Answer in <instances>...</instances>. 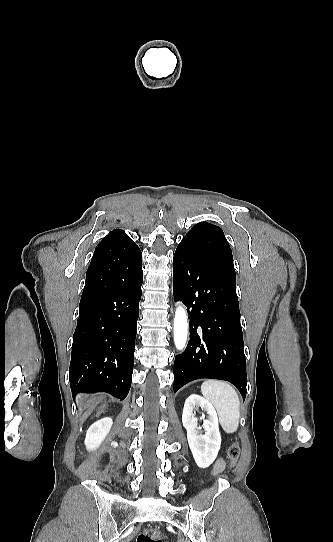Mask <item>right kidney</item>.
<instances>
[{"label":"right kidney","instance_id":"right-kidney-1","mask_svg":"<svg viewBox=\"0 0 333 542\" xmlns=\"http://www.w3.org/2000/svg\"><path fill=\"white\" fill-rule=\"evenodd\" d=\"M112 424L111 418H102V420H98V422H94L90 426L84 442L87 450H96L101 446L103 440L109 434Z\"/></svg>","mask_w":333,"mask_h":542}]
</instances>
